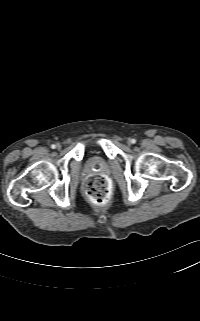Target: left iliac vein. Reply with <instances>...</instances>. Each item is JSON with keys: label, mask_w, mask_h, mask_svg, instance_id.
I'll return each mask as SVG.
<instances>
[{"label": "left iliac vein", "mask_w": 200, "mask_h": 321, "mask_svg": "<svg viewBox=\"0 0 200 321\" xmlns=\"http://www.w3.org/2000/svg\"><path fill=\"white\" fill-rule=\"evenodd\" d=\"M128 145L132 144V139L127 140Z\"/></svg>", "instance_id": "1"}]
</instances>
